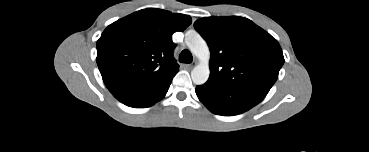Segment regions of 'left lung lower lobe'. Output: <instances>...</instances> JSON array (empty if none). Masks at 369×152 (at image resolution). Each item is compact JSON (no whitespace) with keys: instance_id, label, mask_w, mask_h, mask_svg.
<instances>
[{"instance_id":"obj_1","label":"left lung lower lobe","mask_w":369,"mask_h":152,"mask_svg":"<svg viewBox=\"0 0 369 152\" xmlns=\"http://www.w3.org/2000/svg\"><path fill=\"white\" fill-rule=\"evenodd\" d=\"M195 91L199 100L211 112L223 116L241 114L264 99L261 95L228 88L210 80L197 86Z\"/></svg>"}]
</instances>
